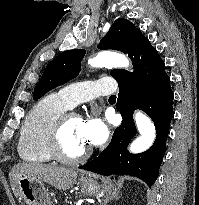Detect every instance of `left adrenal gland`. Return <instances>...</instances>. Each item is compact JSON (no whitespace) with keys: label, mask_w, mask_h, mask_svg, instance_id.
<instances>
[{"label":"left adrenal gland","mask_w":199,"mask_h":205,"mask_svg":"<svg viewBox=\"0 0 199 205\" xmlns=\"http://www.w3.org/2000/svg\"><path fill=\"white\" fill-rule=\"evenodd\" d=\"M119 197V193L118 192H113L112 194H109L108 196H105L103 202L101 203V205H106L109 200H113V199H117Z\"/></svg>","instance_id":"a2214340"}]
</instances>
